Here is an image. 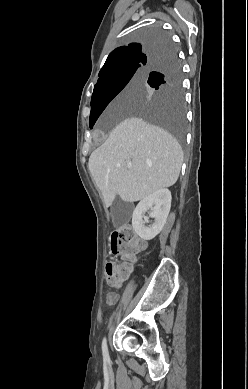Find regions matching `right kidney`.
<instances>
[{
    "label": "right kidney",
    "instance_id": "right-kidney-1",
    "mask_svg": "<svg viewBox=\"0 0 248 389\" xmlns=\"http://www.w3.org/2000/svg\"><path fill=\"white\" fill-rule=\"evenodd\" d=\"M171 199V192L164 188L155 191L138 203L133 212L132 226L140 238L147 241L152 240L161 232L171 208ZM149 209H151L149 216L154 219V223L146 227L143 217Z\"/></svg>",
    "mask_w": 248,
    "mask_h": 389
}]
</instances>
